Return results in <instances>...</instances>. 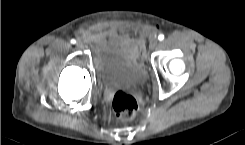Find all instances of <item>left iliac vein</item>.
<instances>
[{"label": "left iliac vein", "instance_id": "left-iliac-vein-1", "mask_svg": "<svg viewBox=\"0 0 245 145\" xmlns=\"http://www.w3.org/2000/svg\"><path fill=\"white\" fill-rule=\"evenodd\" d=\"M159 44V41L156 37H153L151 40H150V49H155Z\"/></svg>", "mask_w": 245, "mask_h": 145}]
</instances>
